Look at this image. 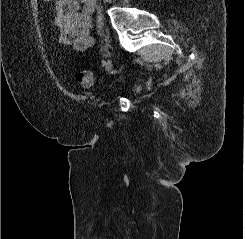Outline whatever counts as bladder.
Listing matches in <instances>:
<instances>
[{"label": "bladder", "instance_id": "bladder-1", "mask_svg": "<svg viewBox=\"0 0 245 239\" xmlns=\"http://www.w3.org/2000/svg\"><path fill=\"white\" fill-rule=\"evenodd\" d=\"M134 90L136 93H138V92H141L143 90V88H142V86L139 85V86H135Z\"/></svg>", "mask_w": 245, "mask_h": 239}]
</instances>
